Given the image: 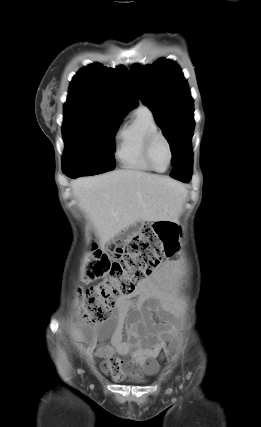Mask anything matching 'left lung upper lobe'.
Masks as SVG:
<instances>
[{
    "mask_svg": "<svg viewBox=\"0 0 261 427\" xmlns=\"http://www.w3.org/2000/svg\"><path fill=\"white\" fill-rule=\"evenodd\" d=\"M130 74L139 99L152 110L170 144L174 167L194 130L193 99L186 79L175 62L165 59L147 66L132 65Z\"/></svg>",
    "mask_w": 261,
    "mask_h": 427,
    "instance_id": "5c2ea615",
    "label": "left lung upper lobe"
}]
</instances>
